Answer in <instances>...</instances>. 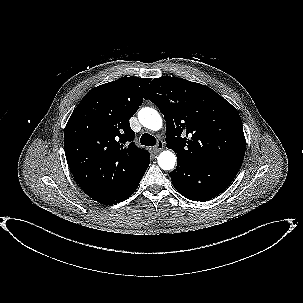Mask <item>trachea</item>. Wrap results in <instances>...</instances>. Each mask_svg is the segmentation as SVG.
Masks as SVG:
<instances>
[{"label":"trachea","mask_w":303,"mask_h":303,"mask_svg":"<svg viewBox=\"0 0 303 303\" xmlns=\"http://www.w3.org/2000/svg\"><path fill=\"white\" fill-rule=\"evenodd\" d=\"M140 143L145 146H154L156 144V139L154 136L145 133L141 136Z\"/></svg>","instance_id":"1"}]
</instances>
